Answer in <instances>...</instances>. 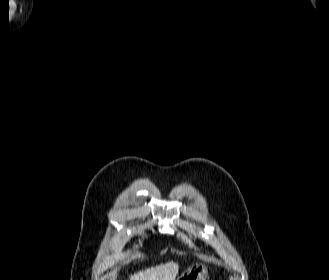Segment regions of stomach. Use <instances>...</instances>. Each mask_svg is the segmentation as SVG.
Segmentation results:
<instances>
[{
	"label": "stomach",
	"mask_w": 329,
	"mask_h": 280,
	"mask_svg": "<svg viewBox=\"0 0 329 280\" xmlns=\"http://www.w3.org/2000/svg\"><path fill=\"white\" fill-rule=\"evenodd\" d=\"M208 277V269L203 264H196L189 267L183 272L177 280H206Z\"/></svg>",
	"instance_id": "obj_1"
}]
</instances>
